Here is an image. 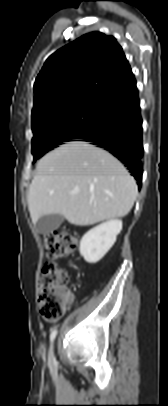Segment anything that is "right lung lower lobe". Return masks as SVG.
<instances>
[{
	"instance_id": "obj_1",
	"label": "right lung lower lobe",
	"mask_w": 168,
	"mask_h": 406,
	"mask_svg": "<svg viewBox=\"0 0 168 406\" xmlns=\"http://www.w3.org/2000/svg\"><path fill=\"white\" fill-rule=\"evenodd\" d=\"M77 139L104 148L142 179V118L136 83L105 99V116ZM141 185L139 184V187Z\"/></svg>"
}]
</instances>
